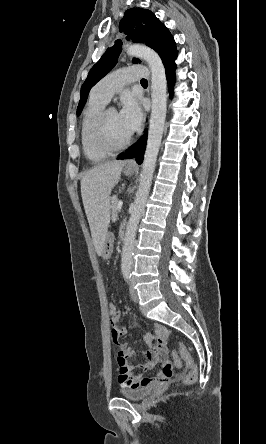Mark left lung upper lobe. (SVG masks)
<instances>
[{"mask_svg": "<svg viewBox=\"0 0 266 444\" xmlns=\"http://www.w3.org/2000/svg\"><path fill=\"white\" fill-rule=\"evenodd\" d=\"M120 32L126 34V39L133 42L145 43L154 49L161 57L163 64L177 56L176 43L167 29L150 10L131 8L125 12L119 25ZM121 40L108 48L101 59L92 67L81 87V98L77 107L80 115L90 89L116 65L121 52ZM139 62V59H133Z\"/></svg>", "mask_w": 266, "mask_h": 444, "instance_id": "left-lung-upper-lobe-1", "label": "left lung upper lobe"}]
</instances>
